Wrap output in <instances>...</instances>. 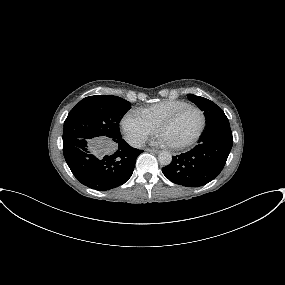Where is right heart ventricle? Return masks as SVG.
<instances>
[{"label":"right heart ventricle","mask_w":285,"mask_h":285,"mask_svg":"<svg viewBox=\"0 0 285 285\" xmlns=\"http://www.w3.org/2000/svg\"><path fill=\"white\" fill-rule=\"evenodd\" d=\"M188 104L183 100H164L138 111V114L154 128L178 108Z\"/></svg>","instance_id":"right-heart-ventricle-1"}]
</instances>
